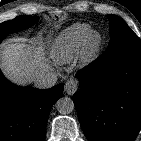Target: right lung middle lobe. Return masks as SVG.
<instances>
[{
  "instance_id": "right-lung-middle-lobe-1",
  "label": "right lung middle lobe",
  "mask_w": 141,
  "mask_h": 141,
  "mask_svg": "<svg viewBox=\"0 0 141 141\" xmlns=\"http://www.w3.org/2000/svg\"><path fill=\"white\" fill-rule=\"evenodd\" d=\"M38 21L37 16H19L0 24V43L8 34L29 28Z\"/></svg>"
}]
</instances>
